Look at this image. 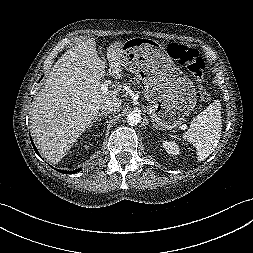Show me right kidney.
Returning <instances> with one entry per match:
<instances>
[{
  "mask_svg": "<svg viewBox=\"0 0 253 253\" xmlns=\"http://www.w3.org/2000/svg\"><path fill=\"white\" fill-rule=\"evenodd\" d=\"M89 139V138H88ZM88 141H90V140H88ZM87 143V141L84 143V144H82V146L84 147V148H88V144H86Z\"/></svg>",
  "mask_w": 253,
  "mask_h": 253,
  "instance_id": "ca27d5eb",
  "label": "right kidney"
}]
</instances>
